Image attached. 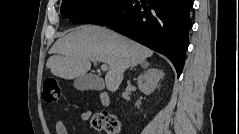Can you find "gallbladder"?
Returning <instances> with one entry per match:
<instances>
[{
	"label": "gallbladder",
	"mask_w": 239,
	"mask_h": 134,
	"mask_svg": "<svg viewBox=\"0 0 239 134\" xmlns=\"http://www.w3.org/2000/svg\"><path fill=\"white\" fill-rule=\"evenodd\" d=\"M74 86L81 91L84 90H101L104 85L102 80L92 74H85L75 79Z\"/></svg>",
	"instance_id": "gallbladder-1"
}]
</instances>
